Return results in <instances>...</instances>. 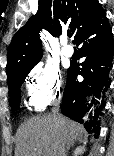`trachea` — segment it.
<instances>
[{
  "mask_svg": "<svg viewBox=\"0 0 114 156\" xmlns=\"http://www.w3.org/2000/svg\"><path fill=\"white\" fill-rule=\"evenodd\" d=\"M68 37H71V33H68Z\"/></svg>",
  "mask_w": 114,
  "mask_h": 156,
  "instance_id": "trachea-1",
  "label": "trachea"
}]
</instances>
